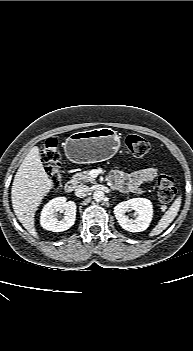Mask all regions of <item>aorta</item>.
I'll return each mask as SVG.
<instances>
[{"instance_id": "762f6f07", "label": "aorta", "mask_w": 193, "mask_h": 351, "mask_svg": "<svg viewBox=\"0 0 193 351\" xmlns=\"http://www.w3.org/2000/svg\"><path fill=\"white\" fill-rule=\"evenodd\" d=\"M105 198V193L101 190H96L94 193H93V199L97 202H100L102 201L103 199Z\"/></svg>"}]
</instances>
